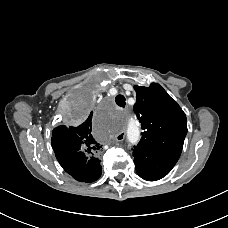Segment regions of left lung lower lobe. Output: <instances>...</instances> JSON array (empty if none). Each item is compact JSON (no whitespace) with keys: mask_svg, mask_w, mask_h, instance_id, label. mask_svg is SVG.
Listing matches in <instances>:
<instances>
[{"mask_svg":"<svg viewBox=\"0 0 228 228\" xmlns=\"http://www.w3.org/2000/svg\"><path fill=\"white\" fill-rule=\"evenodd\" d=\"M136 172L148 181H156L166 176L174 167L179 156L160 153L152 149H133Z\"/></svg>","mask_w":228,"mask_h":228,"instance_id":"left-lung-lower-lobe-1","label":"left lung lower lobe"}]
</instances>
